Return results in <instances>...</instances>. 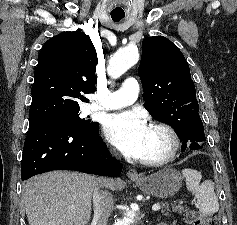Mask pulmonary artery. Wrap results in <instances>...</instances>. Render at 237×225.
I'll use <instances>...</instances> for the list:
<instances>
[{"mask_svg": "<svg viewBox=\"0 0 237 225\" xmlns=\"http://www.w3.org/2000/svg\"><path fill=\"white\" fill-rule=\"evenodd\" d=\"M139 84L136 79L128 78L116 92L109 93L106 99L96 104L98 109L114 110L134 103L138 97Z\"/></svg>", "mask_w": 237, "mask_h": 225, "instance_id": "obj_1", "label": "pulmonary artery"}]
</instances>
